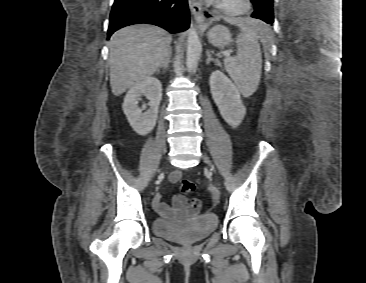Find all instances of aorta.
<instances>
[{"label":"aorta","instance_id":"762f6f07","mask_svg":"<svg viewBox=\"0 0 366 283\" xmlns=\"http://www.w3.org/2000/svg\"><path fill=\"white\" fill-rule=\"evenodd\" d=\"M201 55V44L197 31L192 27L187 39L186 65L188 71H192L197 66Z\"/></svg>","mask_w":366,"mask_h":283}]
</instances>
